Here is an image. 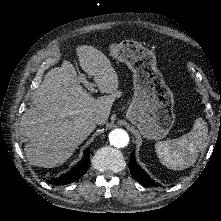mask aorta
Segmentation results:
<instances>
[{
  "label": "aorta",
  "mask_w": 221,
  "mask_h": 221,
  "mask_svg": "<svg viewBox=\"0 0 221 221\" xmlns=\"http://www.w3.org/2000/svg\"><path fill=\"white\" fill-rule=\"evenodd\" d=\"M109 141L117 148H124L129 143V135L123 129H114L109 133Z\"/></svg>",
  "instance_id": "762f6f07"
}]
</instances>
